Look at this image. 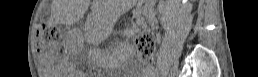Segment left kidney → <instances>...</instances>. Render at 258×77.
<instances>
[{
    "instance_id": "left-kidney-1",
    "label": "left kidney",
    "mask_w": 258,
    "mask_h": 77,
    "mask_svg": "<svg viewBox=\"0 0 258 77\" xmlns=\"http://www.w3.org/2000/svg\"><path fill=\"white\" fill-rule=\"evenodd\" d=\"M183 2H187V0H183ZM189 12H190V10H189Z\"/></svg>"
}]
</instances>
